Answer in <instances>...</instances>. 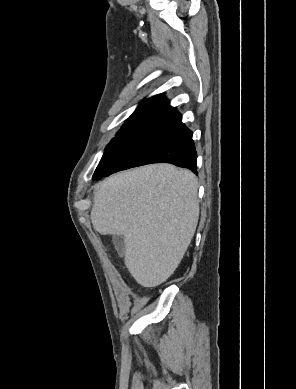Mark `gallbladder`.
<instances>
[{
    "label": "gallbladder",
    "instance_id": "bac80fb5",
    "mask_svg": "<svg viewBox=\"0 0 296 389\" xmlns=\"http://www.w3.org/2000/svg\"><path fill=\"white\" fill-rule=\"evenodd\" d=\"M112 242L119 256H123L126 249L124 237L122 235H114L112 237Z\"/></svg>",
    "mask_w": 296,
    "mask_h": 389
}]
</instances>
